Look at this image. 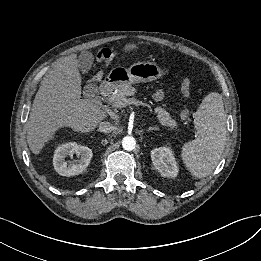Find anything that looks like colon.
<instances>
[{
  "mask_svg": "<svg viewBox=\"0 0 261 261\" xmlns=\"http://www.w3.org/2000/svg\"><path fill=\"white\" fill-rule=\"evenodd\" d=\"M98 58L102 61H109L111 59V52L108 49H103L99 55ZM182 92L185 96L189 94V84L186 82H182ZM183 113V111H182Z\"/></svg>",
  "mask_w": 261,
  "mask_h": 261,
  "instance_id": "obj_1",
  "label": "colon"
}]
</instances>
